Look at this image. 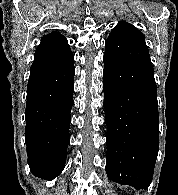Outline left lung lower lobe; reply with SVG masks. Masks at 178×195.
<instances>
[{
  "instance_id": "1",
  "label": "left lung lower lobe",
  "mask_w": 178,
  "mask_h": 195,
  "mask_svg": "<svg viewBox=\"0 0 178 195\" xmlns=\"http://www.w3.org/2000/svg\"><path fill=\"white\" fill-rule=\"evenodd\" d=\"M103 76L107 176L119 184L147 189L159 149L154 71L104 54Z\"/></svg>"
}]
</instances>
